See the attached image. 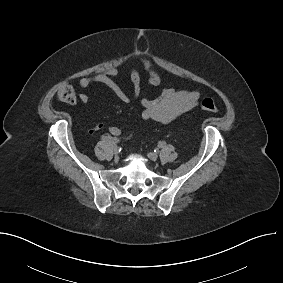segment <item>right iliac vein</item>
Returning <instances> with one entry per match:
<instances>
[{"mask_svg":"<svg viewBox=\"0 0 283 283\" xmlns=\"http://www.w3.org/2000/svg\"><path fill=\"white\" fill-rule=\"evenodd\" d=\"M110 146L115 153L118 151V147L115 144H111Z\"/></svg>","mask_w":283,"mask_h":283,"instance_id":"1","label":"right iliac vein"}]
</instances>
